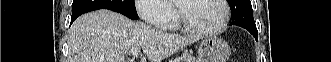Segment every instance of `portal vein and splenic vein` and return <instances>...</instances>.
<instances>
[{"label": "portal vein and splenic vein", "instance_id": "1", "mask_svg": "<svg viewBox=\"0 0 331 62\" xmlns=\"http://www.w3.org/2000/svg\"><path fill=\"white\" fill-rule=\"evenodd\" d=\"M130 52H131V54H132L133 56H135V55H138V54H139V49H138V48H132V49L130 50Z\"/></svg>", "mask_w": 331, "mask_h": 62}]
</instances>
